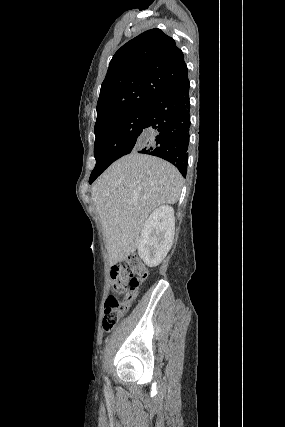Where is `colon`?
Returning <instances> with one entry per match:
<instances>
[{"instance_id":"obj_1","label":"colon","mask_w":285,"mask_h":427,"mask_svg":"<svg viewBox=\"0 0 285 427\" xmlns=\"http://www.w3.org/2000/svg\"><path fill=\"white\" fill-rule=\"evenodd\" d=\"M147 275V267L137 257L125 259L112 267L110 281L113 293L108 295L105 302L102 321L104 332L111 331L117 325Z\"/></svg>"}]
</instances>
